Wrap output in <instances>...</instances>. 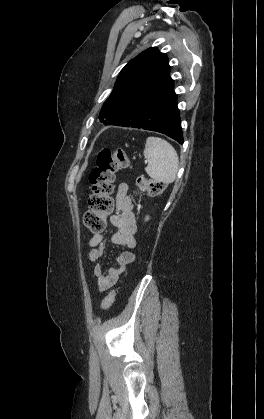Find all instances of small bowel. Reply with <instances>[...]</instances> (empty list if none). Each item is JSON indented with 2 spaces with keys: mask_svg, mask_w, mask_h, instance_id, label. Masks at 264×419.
I'll return each instance as SVG.
<instances>
[{
  "mask_svg": "<svg viewBox=\"0 0 264 419\" xmlns=\"http://www.w3.org/2000/svg\"><path fill=\"white\" fill-rule=\"evenodd\" d=\"M133 204L128 196V185L120 183L116 192V209L110 216V225L113 229L111 242L122 247L117 256L118 267L106 269L105 264L100 262L93 269L97 278V285L100 291H106L113 287L119 277L125 272L128 265L136 259L133 249L136 247L134 234L137 229L136 220L132 211ZM106 240L103 233L94 234L88 245L91 248L88 259L91 262L99 261L105 250Z\"/></svg>",
  "mask_w": 264,
  "mask_h": 419,
  "instance_id": "obj_1",
  "label": "small bowel"
}]
</instances>
